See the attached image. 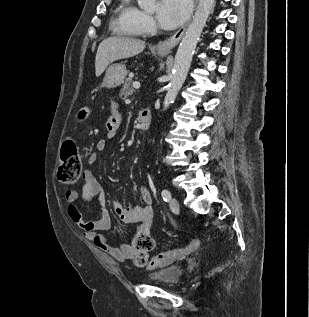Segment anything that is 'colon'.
Returning a JSON list of instances; mask_svg holds the SVG:
<instances>
[{
	"label": "colon",
	"instance_id": "colon-1",
	"mask_svg": "<svg viewBox=\"0 0 309 317\" xmlns=\"http://www.w3.org/2000/svg\"><path fill=\"white\" fill-rule=\"evenodd\" d=\"M88 110L83 109L80 112V119L86 118ZM82 170V161L78 153L77 146L72 139H67L63 142L60 163L57 171V177L60 182L65 185H74L77 183ZM154 240L151 237L147 228L140 227L136 236L133 239L132 246L135 249V261L141 267H156L165 263L174 254L160 253L154 258L149 259L148 252L154 248ZM201 241L198 238L193 239L187 250H196L200 247ZM180 253V252H176Z\"/></svg>",
	"mask_w": 309,
	"mask_h": 317
}]
</instances>
